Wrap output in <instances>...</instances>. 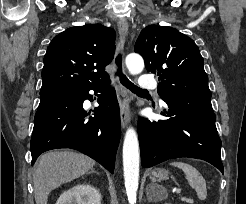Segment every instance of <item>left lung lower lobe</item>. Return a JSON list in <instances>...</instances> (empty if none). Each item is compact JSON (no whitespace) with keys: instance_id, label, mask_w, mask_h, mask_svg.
<instances>
[{"instance_id":"obj_1","label":"left lung lower lobe","mask_w":246,"mask_h":204,"mask_svg":"<svg viewBox=\"0 0 246 204\" xmlns=\"http://www.w3.org/2000/svg\"><path fill=\"white\" fill-rule=\"evenodd\" d=\"M161 98L168 105L162 115L169 119L138 121L142 167L190 157L205 160L224 173L211 97L166 95Z\"/></svg>"}]
</instances>
